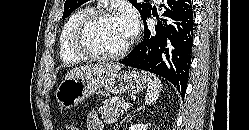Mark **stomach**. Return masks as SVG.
<instances>
[{
    "label": "stomach",
    "mask_w": 249,
    "mask_h": 130,
    "mask_svg": "<svg viewBox=\"0 0 249 130\" xmlns=\"http://www.w3.org/2000/svg\"><path fill=\"white\" fill-rule=\"evenodd\" d=\"M146 86L144 74L136 70L116 71L99 76L67 78L59 84L55 96L60 106L71 109L95 94L138 93Z\"/></svg>",
    "instance_id": "stomach-1"
}]
</instances>
